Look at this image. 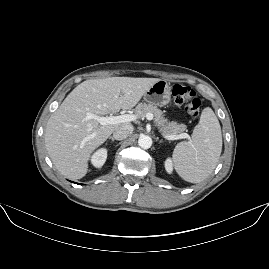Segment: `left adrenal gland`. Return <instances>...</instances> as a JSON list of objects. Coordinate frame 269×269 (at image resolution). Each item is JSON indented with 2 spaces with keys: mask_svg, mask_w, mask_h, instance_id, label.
Returning a JSON list of instances; mask_svg holds the SVG:
<instances>
[{
  "mask_svg": "<svg viewBox=\"0 0 269 269\" xmlns=\"http://www.w3.org/2000/svg\"><path fill=\"white\" fill-rule=\"evenodd\" d=\"M156 140L158 141L159 138H156ZM163 142H164V140H160V141H158V144H161V143H163Z\"/></svg>",
  "mask_w": 269,
  "mask_h": 269,
  "instance_id": "a2214340",
  "label": "left adrenal gland"
}]
</instances>
